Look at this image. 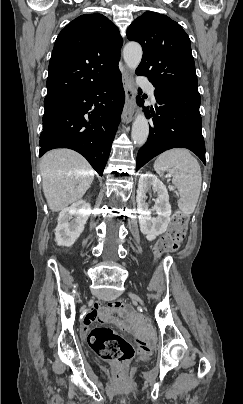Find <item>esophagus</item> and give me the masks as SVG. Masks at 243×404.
I'll use <instances>...</instances> for the list:
<instances>
[{
	"label": "esophagus",
	"instance_id": "obj_1",
	"mask_svg": "<svg viewBox=\"0 0 243 404\" xmlns=\"http://www.w3.org/2000/svg\"><path fill=\"white\" fill-rule=\"evenodd\" d=\"M122 83L125 91V105L121 115V120L124 123H129L133 119L135 108V92L133 88V78L131 72L124 65L121 71Z\"/></svg>",
	"mask_w": 243,
	"mask_h": 404
}]
</instances>
